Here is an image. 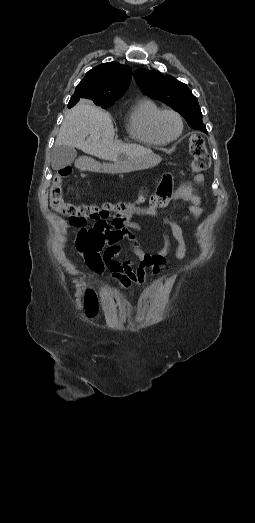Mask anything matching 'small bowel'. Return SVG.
<instances>
[{
  "label": "small bowel",
  "instance_id": "small-bowel-1",
  "mask_svg": "<svg viewBox=\"0 0 255 523\" xmlns=\"http://www.w3.org/2000/svg\"><path fill=\"white\" fill-rule=\"evenodd\" d=\"M202 181L203 176L196 175L186 180L172 194L167 191L163 198L155 195L148 207L133 208L123 215L124 221L120 225L110 226L107 222H94L92 227L87 228L69 220L71 226L78 228L74 238V246L78 254L93 272L100 274L106 268L112 272H123L138 284L145 282V269L147 268H151L154 277L167 271L165 258L171 249L169 235L162 232L163 246L161 249L153 253L145 252L141 249L137 238V233L143 232L144 228L131 218L136 216L158 218V210L167 207L172 199L182 200L192 216L200 217L204 212V204L202 198L196 193L195 184L202 183ZM162 221L169 226L172 237L176 241V259L186 260L188 253L181 226L169 218H162ZM124 240L128 241L126 247L134 252L135 259L121 262L118 257L125 249V246L121 244ZM134 265L137 266L136 272L132 270Z\"/></svg>",
  "mask_w": 255,
  "mask_h": 523
}]
</instances>
